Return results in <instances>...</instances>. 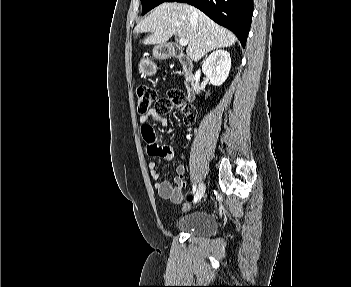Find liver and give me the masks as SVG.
<instances>
[{
    "mask_svg": "<svg viewBox=\"0 0 351 287\" xmlns=\"http://www.w3.org/2000/svg\"><path fill=\"white\" fill-rule=\"evenodd\" d=\"M135 32L151 34L145 45L165 44L173 35L188 40L187 55L194 61L206 53L235 44L236 36L202 11L183 3H163L137 24Z\"/></svg>",
    "mask_w": 351,
    "mask_h": 287,
    "instance_id": "1",
    "label": "liver"
}]
</instances>
